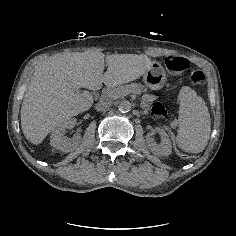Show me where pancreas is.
I'll return each mask as SVG.
<instances>
[{"mask_svg": "<svg viewBox=\"0 0 236 236\" xmlns=\"http://www.w3.org/2000/svg\"><path fill=\"white\" fill-rule=\"evenodd\" d=\"M147 91L148 88L140 83H127L119 86L118 88L107 90L106 94L104 95V100L113 101L134 92L139 94Z\"/></svg>", "mask_w": 236, "mask_h": 236, "instance_id": "cf45deb5", "label": "pancreas"}]
</instances>
